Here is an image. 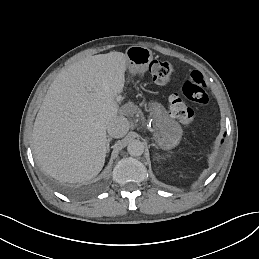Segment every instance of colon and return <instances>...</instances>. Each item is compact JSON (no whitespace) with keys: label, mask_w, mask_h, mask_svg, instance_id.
Wrapping results in <instances>:
<instances>
[{"label":"colon","mask_w":259,"mask_h":259,"mask_svg":"<svg viewBox=\"0 0 259 259\" xmlns=\"http://www.w3.org/2000/svg\"><path fill=\"white\" fill-rule=\"evenodd\" d=\"M173 72L174 66L169 61H154L150 65L152 79L160 86L169 83ZM188 101L198 104L208 103L207 86L199 71L191 72L185 80L182 95L173 94L169 98L170 114L185 127L190 126L195 119L194 111Z\"/></svg>","instance_id":"colon-1"}]
</instances>
